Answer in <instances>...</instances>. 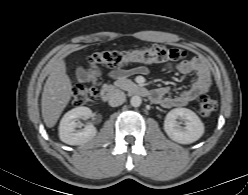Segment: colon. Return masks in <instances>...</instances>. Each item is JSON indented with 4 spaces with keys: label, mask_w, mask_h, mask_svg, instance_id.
Segmentation results:
<instances>
[{
    "label": "colon",
    "mask_w": 248,
    "mask_h": 195,
    "mask_svg": "<svg viewBox=\"0 0 248 195\" xmlns=\"http://www.w3.org/2000/svg\"><path fill=\"white\" fill-rule=\"evenodd\" d=\"M187 52L181 48H171L162 44L130 49H104L90 56L92 65L109 68H123L131 65H155L183 59ZM99 79L90 86L80 85L73 91V102L76 106L91 103L97 95ZM217 103L209 96H201L198 100V112L201 117L208 118L216 110Z\"/></svg>",
    "instance_id": "5ec220e1"
}]
</instances>
